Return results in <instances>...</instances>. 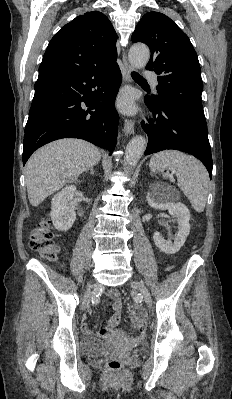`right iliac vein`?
Instances as JSON below:
<instances>
[{
  "label": "right iliac vein",
  "mask_w": 232,
  "mask_h": 399,
  "mask_svg": "<svg viewBox=\"0 0 232 399\" xmlns=\"http://www.w3.org/2000/svg\"><path fill=\"white\" fill-rule=\"evenodd\" d=\"M91 301H92V291L90 290V287H87V291L85 293L84 300H82V302H81V309L87 310L89 302H91Z\"/></svg>",
  "instance_id": "63e3f726"
}]
</instances>
